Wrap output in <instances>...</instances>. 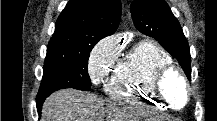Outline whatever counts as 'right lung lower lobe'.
<instances>
[{
  "instance_id": "right-lung-lower-lobe-1",
  "label": "right lung lower lobe",
  "mask_w": 217,
  "mask_h": 121,
  "mask_svg": "<svg viewBox=\"0 0 217 121\" xmlns=\"http://www.w3.org/2000/svg\"><path fill=\"white\" fill-rule=\"evenodd\" d=\"M46 98L47 97L37 99V110L39 115H41L42 104L44 103Z\"/></svg>"
}]
</instances>
